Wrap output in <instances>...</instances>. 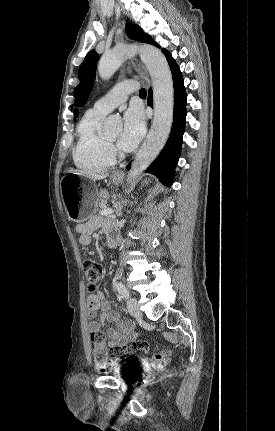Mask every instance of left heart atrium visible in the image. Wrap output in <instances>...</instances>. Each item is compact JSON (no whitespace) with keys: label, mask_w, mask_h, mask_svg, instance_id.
<instances>
[{"label":"left heart atrium","mask_w":275,"mask_h":431,"mask_svg":"<svg viewBox=\"0 0 275 431\" xmlns=\"http://www.w3.org/2000/svg\"><path fill=\"white\" fill-rule=\"evenodd\" d=\"M145 118L138 107L129 108L124 114L123 130L117 145L123 151L133 150L145 134Z\"/></svg>","instance_id":"left-heart-atrium-1"}]
</instances>
